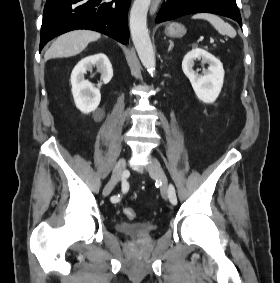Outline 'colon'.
<instances>
[{
  "mask_svg": "<svg viewBox=\"0 0 280 283\" xmlns=\"http://www.w3.org/2000/svg\"><path fill=\"white\" fill-rule=\"evenodd\" d=\"M124 214L129 219H134L136 217V212L132 208H125Z\"/></svg>",
  "mask_w": 280,
  "mask_h": 283,
  "instance_id": "obj_1",
  "label": "colon"
}]
</instances>
